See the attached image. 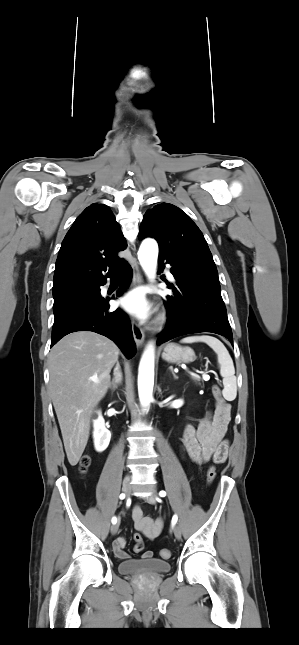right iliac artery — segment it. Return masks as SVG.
Instances as JSON below:
<instances>
[{
	"mask_svg": "<svg viewBox=\"0 0 299 645\" xmlns=\"http://www.w3.org/2000/svg\"><path fill=\"white\" fill-rule=\"evenodd\" d=\"M119 497H120V499H124V498H125V494H123V493H122V494H120V496H119ZM111 521H112V523H113V524H115V523L117 522L116 517H113Z\"/></svg>",
	"mask_w": 299,
	"mask_h": 645,
	"instance_id": "1",
	"label": "right iliac artery"
}]
</instances>
